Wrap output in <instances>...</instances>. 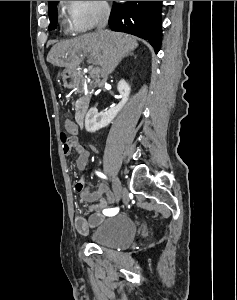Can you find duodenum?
Instances as JSON below:
<instances>
[{
    "label": "duodenum",
    "instance_id": "obj_1",
    "mask_svg": "<svg viewBox=\"0 0 237 300\" xmlns=\"http://www.w3.org/2000/svg\"><path fill=\"white\" fill-rule=\"evenodd\" d=\"M67 84L78 91L84 90V79L80 73L77 71H69L66 79ZM90 105V97L86 94L79 99L76 112H75V121L79 127L84 125L88 110Z\"/></svg>",
    "mask_w": 237,
    "mask_h": 300
}]
</instances>
